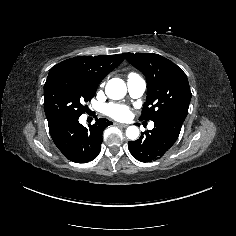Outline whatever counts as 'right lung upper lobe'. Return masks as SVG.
Listing matches in <instances>:
<instances>
[{
	"label": "right lung upper lobe",
	"instance_id": "obj_1",
	"mask_svg": "<svg viewBox=\"0 0 236 236\" xmlns=\"http://www.w3.org/2000/svg\"><path fill=\"white\" fill-rule=\"evenodd\" d=\"M124 60V54L106 56H79L55 65L89 74L98 83Z\"/></svg>",
	"mask_w": 236,
	"mask_h": 236
}]
</instances>
